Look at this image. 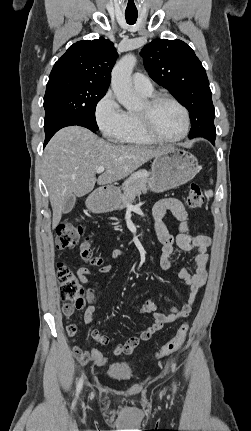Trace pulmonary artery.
Returning <instances> with one entry per match:
<instances>
[{
	"mask_svg": "<svg viewBox=\"0 0 251 431\" xmlns=\"http://www.w3.org/2000/svg\"><path fill=\"white\" fill-rule=\"evenodd\" d=\"M134 88L143 94H150L153 87L150 79L142 73H135L132 78Z\"/></svg>",
	"mask_w": 251,
	"mask_h": 431,
	"instance_id": "pulmonary-artery-1",
	"label": "pulmonary artery"
}]
</instances>
